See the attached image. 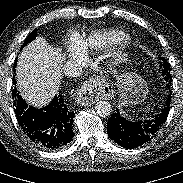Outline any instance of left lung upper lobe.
I'll return each mask as SVG.
<instances>
[{"label": "left lung upper lobe", "mask_w": 183, "mask_h": 183, "mask_svg": "<svg viewBox=\"0 0 183 183\" xmlns=\"http://www.w3.org/2000/svg\"><path fill=\"white\" fill-rule=\"evenodd\" d=\"M160 69L162 70V75L170 73V65L166 60H163V63L160 64Z\"/></svg>", "instance_id": "obj_1"}]
</instances>
